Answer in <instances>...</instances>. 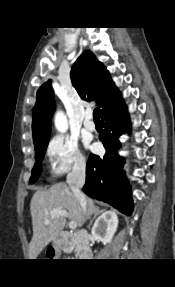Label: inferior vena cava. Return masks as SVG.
<instances>
[{
  "instance_id": "602c4592",
  "label": "inferior vena cava",
  "mask_w": 175,
  "mask_h": 287,
  "mask_svg": "<svg viewBox=\"0 0 175 287\" xmlns=\"http://www.w3.org/2000/svg\"><path fill=\"white\" fill-rule=\"evenodd\" d=\"M86 165L85 162H76L72 171L67 175V183L69 184L73 194L80 203L84 212H86L87 201L85 195L81 192V188L85 183Z\"/></svg>"
}]
</instances>
